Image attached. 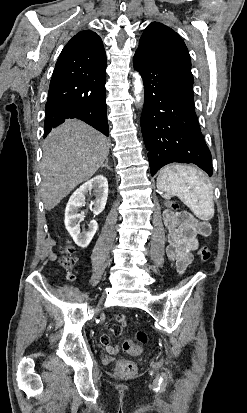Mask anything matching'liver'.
Returning <instances> with one entry per match:
<instances>
[{
  "label": "liver",
  "mask_w": 247,
  "mask_h": 413,
  "mask_svg": "<svg viewBox=\"0 0 247 413\" xmlns=\"http://www.w3.org/2000/svg\"><path fill=\"white\" fill-rule=\"evenodd\" d=\"M110 138L86 122L69 118L53 128L43 144L41 194L46 211L91 178L109 154Z\"/></svg>",
  "instance_id": "1"
}]
</instances>
